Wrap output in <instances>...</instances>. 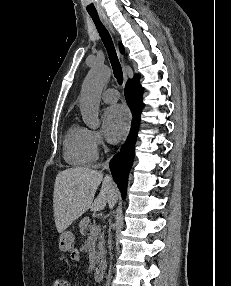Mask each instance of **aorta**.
Masks as SVG:
<instances>
[{
  "mask_svg": "<svg viewBox=\"0 0 231 286\" xmlns=\"http://www.w3.org/2000/svg\"><path fill=\"white\" fill-rule=\"evenodd\" d=\"M111 72L106 66H95L87 74L81 89L80 111L84 123L97 128L99 122L100 94L108 82Z\"/></svg>",
  "mask_w": 231,
  "mask_h": 286,
  "instance_id": "762f6f07",
  "label": "aorta"
}]
</instances>
